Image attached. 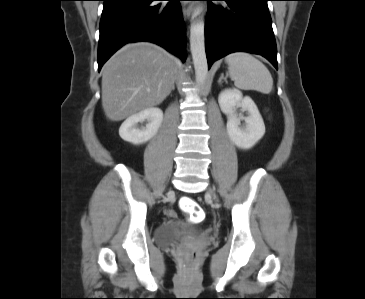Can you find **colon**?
I'll use <instances>...</instances> for the list:
<instances>
[{
	"mask_svg": "<svg viewBox=\"0 0 365 299\" xmlns=\"http://www.w3.org/2000/svg\"><path fill=\"white\" fill-rule=\"evenodd\" d=\"M181 209L188 215L190 221L196 223L205 217L200 205L192 198L184 197L179 202Z\"/></svg>",
	"mask_w": 365,
	"mask_h": 299,
	"instance_id": "5ec220e1",
	"label": "colon"
}]
</instances>
